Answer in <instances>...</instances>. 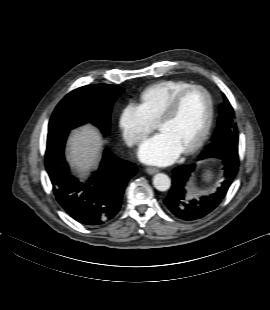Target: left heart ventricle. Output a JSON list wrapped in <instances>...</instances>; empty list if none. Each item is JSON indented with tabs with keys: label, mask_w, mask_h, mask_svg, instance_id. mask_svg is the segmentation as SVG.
<instances>
[{
	"label": "left heart ventricle",
	"mask_w": 270,
	"mask_h": 310,
	"mask_svg": "<svg viewBox=\"0 0 270 310\" xmlns=\"http://www.w3.org/2000/svg\"><path fill=\"white\" fill-rule=\"evenodd\" d=\"M207 111L208 104L205 94L199 90L191 91L182 98L175 115L170 120L160 123L158 129L183 151L202 132Z\"/></svg>",
	"instance_id": "1"
}]
</instances>
